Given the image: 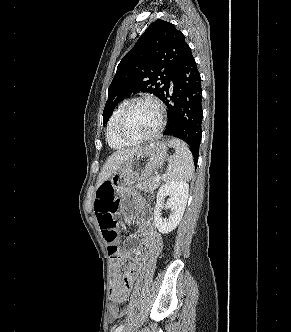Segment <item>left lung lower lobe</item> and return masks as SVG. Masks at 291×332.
<instances>
[{
	"mask_svg": "<svg viewBox=\"0 0 291 332\" xmlns=\"http://www.w3.org/2000/svg\"><path fill=\"white\" fill-rule=\"evenodd\" d=\"M161 100L168 107V124L163 135H171L185 141L191 148L194 160H198L202 136V89L201 77L189 45L186 46L182 60L170 78Z\"/></svg>",
	"mask_w": 291,
	"mask_h": 332,
	"instance_id": "0a47b994",
	"label": "left lung lower lobe"
}]
</instances>
